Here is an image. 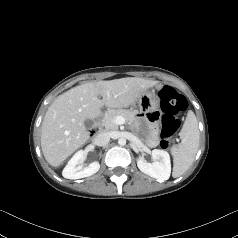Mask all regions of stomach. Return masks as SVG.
Instances as JSON below:
<instances>
[{
    "label": "stomach",
    "mask_w": 238,
    "mask_h": 238,
    "mask_svg": "<svg viewBox=\"0 0 238 238\" xmlns=\"http://www.w3.org/2000/svg\"><path fill=\"white\" fill-rule=\"evenodd\" d=\"M159 99L157 96L149 90L144 91L137 101L134 103L135 107L141 112H146L149 108L155 107L158 108Z\"/></svg>",
    "instance_id": "1"
}]
</instances>
